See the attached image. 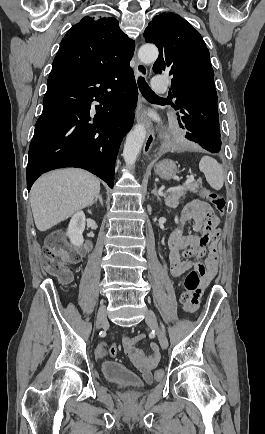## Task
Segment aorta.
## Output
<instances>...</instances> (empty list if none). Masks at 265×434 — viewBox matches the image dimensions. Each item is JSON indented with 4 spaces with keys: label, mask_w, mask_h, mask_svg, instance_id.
<instances>
[{
    "label": "aorta",
    "mask_w": 265,
    "mask_h": 434,
    "mask_svg": "<svg viewBox=\"0 0 265 434\" xmlns=\"http://www.w3.org/2000/svg\"><path fill=\"white\" fill-rule=\"evenodd\" d=\"M159 56L158 48L153 44H145L141 46L138 52V58L143 64H153ZM146 130L143 124H136L133 130L129 132L124 144L123 158L126 164L133 166L137 160V156L143 146Z\"/></svg>",
    "instance_id": "aorta-1"
}]
</instances>
